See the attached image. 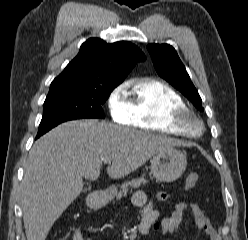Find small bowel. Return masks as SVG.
<instances>
[{
	"mask_svg": "<svg viewBox=\"0 0 248 240\" xmlns=\"http://www.w3.org/2000/svg\"><path fill=\"white\" fill-rule=\"evenodd\" d=\"M170 195L166 192H159L156 198L159 201L170 199ZM132 201L134 205L143 208L142 229L147 232L150 228L160 229L162 233H178L181 229L185 210L191 209L194 216V225L201 230L210 240H219L216 230L211 225L206 212L196 203L188 204L187 202H179L172 213L158 222L159 213L154 208L152 200L144 191H137ZM72 240H89L85 239L81 230L76 228L73 232Z\"/></svg>",
	"mask_w": 248,
	"mask_h": 240,
	"instance_id": "obj_1",
	"label": "small bowel"
}]
</instances>
